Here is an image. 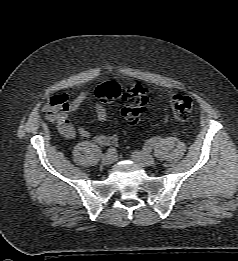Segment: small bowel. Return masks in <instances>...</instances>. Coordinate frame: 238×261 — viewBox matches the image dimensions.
I'll return each mask as SVG.
<instances>
[{
    "mask_svg": "<svg viewBox=\"0 0 238 261\" xmlns=\"http://www.w3.org/2000/svg\"><path fill=\"white\" fill-rule=\"evenodd\" d=\"M91 96L90 92H81L76 95L68 104V110L62 116H60L55 123L58 126L59 132L66 138H74L80 136L82 138H93V140L103 146H114L118 143V135L115 133H101L92 135L91 132L83 127H75L69 120V114L77 111L81 105L86 102ZM95 113L98 120L102 123L107 121V111L103 104L97 103L95 105Z\"/></svg>",
    "mask_w": 238,
    "mask_h": 261,
    "instance_id": "obj_1",
    "label": "small bowel"
}]
</instances>
